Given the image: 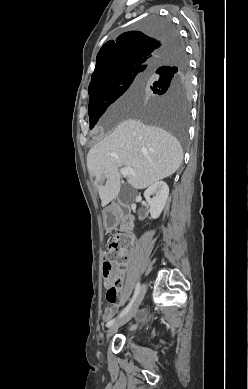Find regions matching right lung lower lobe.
Masks as SVG:
<instances>
[{"mask_svg":"<svg viewBox=\"0 0 248 389\" xmlns=\"http://www.w3.org/2000/svg\"><path fill=\"white\" fill-rule=\"evenodd\" d=\"M172 52H175V53H177V54H179V55H181V54H184V49H183V47H182V45H181V43H180V40H179V48H176V49H174V51H172ZM171 52V53H172ZM185 55V54H184ZM159 69V68H158ZM158 69L156 70V72L158 71ZM157 73H162V71H159V72H157Z\"/></svg>","mask_w":248,"mask_h":389,"instance_id":"right-lung-lower-lobe-1","label":"right lung lower lobe"}]
</instances>
